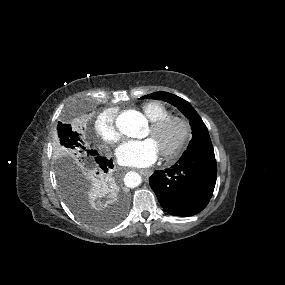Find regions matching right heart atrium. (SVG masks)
I'll return each instance as SVG.
<instances>
[{"instance_id":"right-heart-atrium-1","label":"right heart atrium","mask_w":285,"mask_h":285,"mask_svg":"<svg viewBox=\"0 0 285 285\" xmlns=\"http://www.w3.org/2000/svg\"><path fill=\"white\" fill-rule=\"evenodd\" d=\"M94 131L104 144H116L121 139V133L116 124V113L112 110L100 113L94 121Z\"/></svg>"}]
</instances>
